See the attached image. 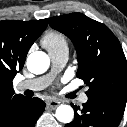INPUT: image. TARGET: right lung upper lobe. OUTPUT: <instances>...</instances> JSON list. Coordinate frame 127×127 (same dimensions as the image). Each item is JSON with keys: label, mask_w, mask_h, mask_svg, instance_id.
<instances>
[{"label": "right lung upper lobe", "mask_w": 127, "mask_h": 127, "mask_svg": "<svg viewBox=\"0 0 127 127\" xmlns=\"http://www.w3.org/2000/svg\"><path fill=\"white\" fill-rule=\"evenodd\" d=\"M47 21H0V112L24 97L15 94L12 81L23 68L31 45L47 27Z\"/></svg>", "instance_id": "cb5924a9"}]
</instances>
